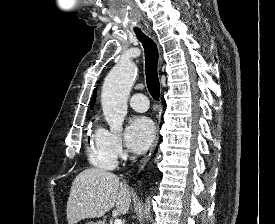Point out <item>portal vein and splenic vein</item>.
Segmentation results:
<instances>
[{
	"instance_id": "18ae733b",
	"label": "portal vein and splenic vein",
	"mask_w": 275,
	"mask_h": 224,
	"mask_svg": "<svg viewBox=\"0 0 275 224\" xmlns=\"http://www.w3.org/2000/svg\"><path fill=\"white\" fill-rule=\"evenodd\" d=\"M114 224H124L123 221L121 219H116L114 221Z\"/></svg>"
}]
</instances>
